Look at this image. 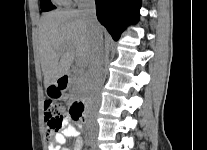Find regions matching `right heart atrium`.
<instances>
[{
	"label": "right heart atrium",
	"instance_id": "obj_1",
	"mask_svg": "<svg viewBox=\"0 0 207 150\" xmlns=\"http://www.w3.org/2000/svg\"><path fill=\"white\" fill-rule=\"evenodd\" d=\"M66 2H70V1H77V0H65Z\"/></svg>",
	"mask_w": 207,
	"mask_h": 150
}]
</instances>
